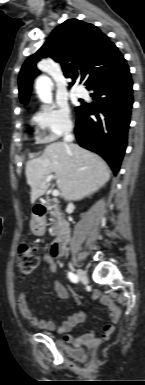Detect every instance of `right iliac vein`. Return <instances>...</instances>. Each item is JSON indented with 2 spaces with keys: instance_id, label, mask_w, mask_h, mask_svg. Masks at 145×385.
<instances>
[{
  "instance_id": "right-iliac-vein-1",
  "label": "right iliac vein",
  "mask_w": 145,
  "mask_h": 385,
  "mask_svg": "<svg viewBox=\"0 0 145 385\" xmlns=\"http://www.w3.org/2000/svg\"><path fill=\"white\" fill-rule=\"evenodd\" d=\"M77 275L79 277V279L83 282V283H88V276L86 274V272L82 269H78L77 270Z\"/></svg>"
}]
</instances>
